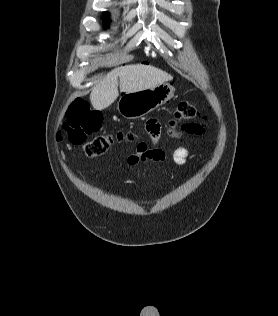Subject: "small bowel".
<instances>
[{
  "instance_id": "obj_1",
  "label": "small bowel",
  "mask_w": 278,
  "mask_h": 316,
  "mask_svg": "<svg viewBox=\"0 0 278 316\" xmlns=\"http://www.w3.org/2000/svg\"><path fill=\"white\" fill-rule=\"evenodd\" d=\"M146 130L150 135L153 147L149 148L146 143L140 142L137 145L135 153L127 156L125 162L128 166H134L139 163L147 161L164 162L168 159L166 152L156 146L161 133V127L157 120L150 119L147 122ZM204 132L203 128L196 135H202ZM189 156V149L182 145L177 147L171 154V160L177 166H184Z\"/></svg>"
}]
</instances>
